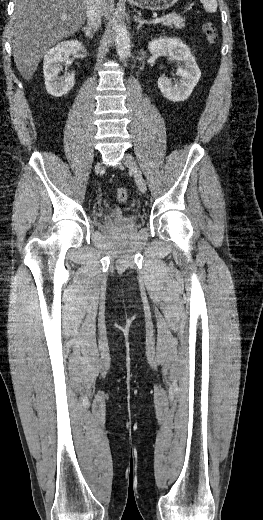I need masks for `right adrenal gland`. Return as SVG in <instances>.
I'll return each instance as SVG.
<instances>
[{
	"mask_svg": "<svg viewBox=\"0 0 263 520\" xmlns=\"http://www.w3.org/2000/svg\"><path fill=\"white\" fill-rule=\"evenodd\" d=\"M81 30L85 33V36L89 39H92L93 37V32L91 30H89L88 27H82Z\"/></svg>",
	"mask_w": 263,
	"mask_h": 520,
	"instance_id": "1",
	"label": "right adrenal gland"
}]
</instances>
